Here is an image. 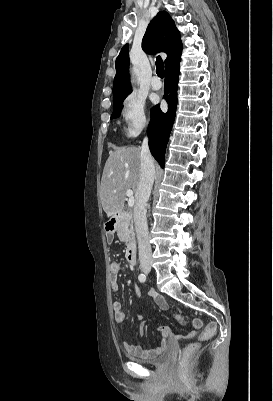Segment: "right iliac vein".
<instances>
[{
	"label": "right iliac vein",
	"mask_w": 273,
	"mask_h": 401,
	"mask_svg": "<svg viewBox=\"0 0 273 401\" xmlns=\"http://www.w3.org/2000/svg\"><path fill=\"white\" fill-rule=\"evenodd\" d=\"M141 268L145 273H149L151 271V266L149 264H143Z\"/></svg>",
	"instance_id": "1"
}]
</instances>
